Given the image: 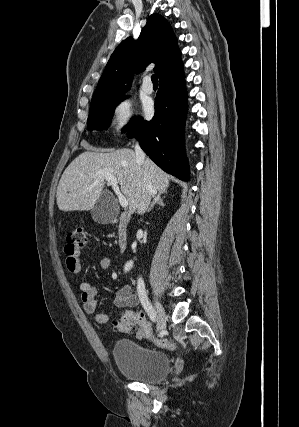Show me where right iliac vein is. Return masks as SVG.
<instances>
[{"mask_svg": "<svg viewBox=\"0 0 299 427\" xmlns=\"http://www.w3.org/2000/svg\"><path fill=\"white\" fill-rule=\"evenodd\" d=\"M155 308L157 312V330L161 331L165 328L166 324V313L162 306V304L158 301V299L154 298Z\"/></svg>", "mask_w": 299, "mask_h": 427, "instance_id": "1", "label": "right iliac vein"}]
</instances>
